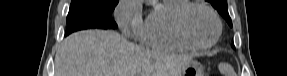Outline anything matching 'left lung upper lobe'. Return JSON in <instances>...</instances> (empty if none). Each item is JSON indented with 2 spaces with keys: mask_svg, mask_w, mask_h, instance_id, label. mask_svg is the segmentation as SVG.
<instances>
[{
  "mask_svg": "<svg viewBox=\"0 0 287 76\" xmlns=\"http://www.w3.org/2000/svg\"><path fill=\"white\" fill-rule=\"evenodd\" d=\"M212 4V6L217 9V11L223 16L227 21L229 26L232 27V21L228 14L227 0H206ZM234 47V46H233Z\"/></svg>",
  "mask_w": 287,
  "mask_h": 76,
  "instance_id": "obj_1",
  "label": "left lung upper lobe"
}]
</instances>
